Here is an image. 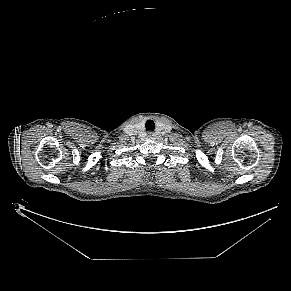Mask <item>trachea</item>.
I'll return each mask as SVG.
<instances>
[{"label": "trachea", "mask_w": 291, "mask_h": 291, "mask_svg": "<svg viewBox=\"0 0 291 291\" xmlns=\"http://www.w3.org/2000/svg\"><path fill=\"white\" fill-rule=\"evenodd\" d=\"M146 130L148 131H154L155 129V123L153 120H147L145 124Z\"/></svg>", "instance_id": "3493384b"}]
</instances>
